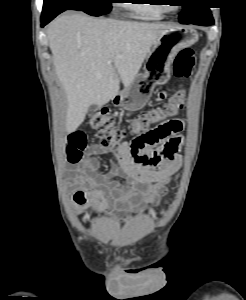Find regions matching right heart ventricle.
Here are the masks:
<instances>
[{"instance_id": "obj_1", "label": "right heart ventricle", "mask_w": 246, "mask_h": 300, "mask_svg": "<svg viewBox=\"0 0 246 300\" xmlns=\"http://www.w3.org/2000/svg\"><path fill=\"white\" fill-rule=\"evenodd\" d=\"M140 1L142 3H133L126 6L132 17L145 21H158L162 19L164 10L158 4L154 3L155 0Z\"/></svg>"}]
</instances>
